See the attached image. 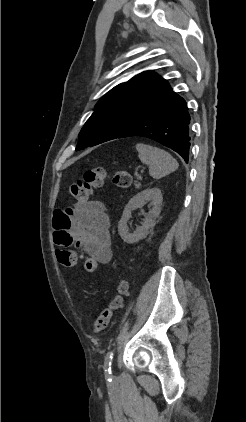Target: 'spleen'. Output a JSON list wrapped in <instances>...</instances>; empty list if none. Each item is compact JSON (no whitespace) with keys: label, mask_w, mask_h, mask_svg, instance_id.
<instances>
[{"label":"spleen","mask_w":246,"mask_h":422,"mask_svg":"<svg viewBox=\"0 0 246 422\" xmlns=\"http://www.w3.org/2000/svg\"><path fill=\"white\" fill-rule=\"evenodd\" d=\"M136 150L141 162L149 166L150 176L155 179L164 177L178 168L176 159L163 149L138 143Z\"/></svg>","instance_id":"1"}]
</instances>
